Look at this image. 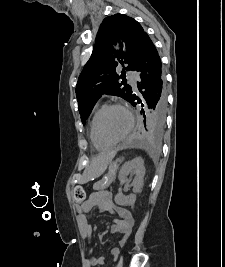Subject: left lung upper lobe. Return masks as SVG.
Returning <instances> with one entry per match:
<instances>
[{
	"label": "left lung upper lobe",
	"instance_id": "left-lung-upper-lobe-1",
	"mask_svg": "<svg viewBox=\"0 0 225 267\" xmlns=\"http://www.w3.org/2000/svg\"><path fill=\"white\" fill-rule=\"evenodd\" d=\"M146 35L142 26L129 16L115 14L104 19L92 55L76 85L78 108L83 123L103 94L130 101L133 93L131 86L123 81L119 82L124 69L121 76L116 73V69L127 65L126 70H134ZM117 43L124 50H113V45ZM143 116L147 131L156 135L163 131L165 119H155L147 110L143 111Z\"/></svg>",
	"mask_w": 225,
	"mask_h": 267
}]
</instances>
